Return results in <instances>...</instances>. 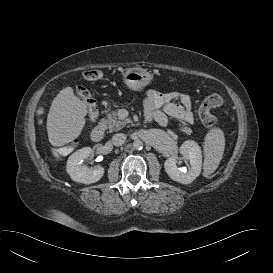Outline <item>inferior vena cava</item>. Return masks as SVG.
Here are the masks:
<instances>
[{"label":"inferior vena cava","instance_id":"inferior-vena-cava-1","mask_svg":"<svg viewBox=\"0 0 273 273\" xmlns=\"http://www.w3.org/2000/svg\"><path fill=\"white\" fill-rule=\"evenodd\" d=\"M126 141V135L123 133H117L112 137V143L114 146H122Z\"/></svg>","mask_w":273,"mask_h":273}]
</instances>
